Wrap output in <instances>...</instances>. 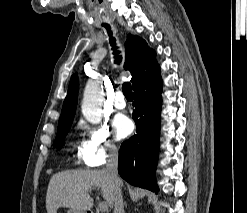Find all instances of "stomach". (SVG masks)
<instances>
[{
    "label": "stomach",
    "instance_id": "0dacf381",
    "mask_svg": "<svg viewBox=\"0 0 247 213\" xmlns=\"http://www.w3.org/2000/svg\"><path fill=\"white\" fill-rule=\"evenodd\" d=\"M67 213H87L86 211L83 210H78V209H74V208H70Z\"/></svg>",
    "mask_w": 247,
    "mask_h": 213
}]
</instances>
